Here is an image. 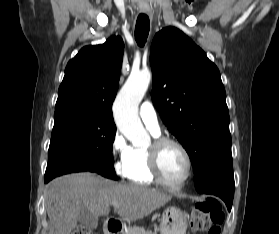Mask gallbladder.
<instances>
[{"mask_svg":"<svg viewBox=\"0 0 279 234\" xmlns=\"http://www.w3.org/2000/svg\"><path fill=\"white\" fill-rule=\"evenodd\" d=\"M78 220L90 229L96 228L98 224V217L86 209L80 211Z\"/></svg>","mask_w":279,"mask_h":234,"instance_id":"bac80fb5","label":"gallbladder"}]
</instances>
